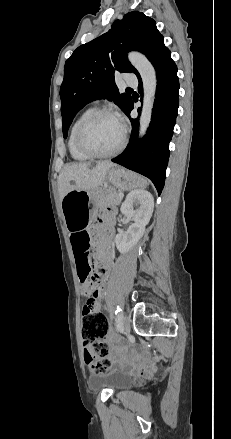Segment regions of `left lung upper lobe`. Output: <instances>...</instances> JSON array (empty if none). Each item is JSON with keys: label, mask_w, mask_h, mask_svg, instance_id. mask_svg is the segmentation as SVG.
Masks as SVG:
<instances>
[{"label": "left lung upper lobe", "mask_w": 231, "mask_h": 439, "mask_svg": "<svg viewBox=\"0 0 231 439\" xmlns=\"http://www.w3.org/2000/svg\"><path fill=\"white\" fill-rule=\"evenodd\" d=\"M165 49L156 22L139 11L127 13L108 32L79 46L65 63L60 87L64 138L78 111L95 99L114 101L123 112L126 110L131 97L119 94L115 73L133 72L140 77L127 59L128 51L145 54L153 64Z\"/></svg>", "instance_id": "obj_1"}]
</instances>
